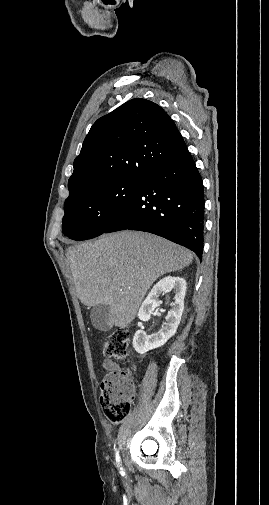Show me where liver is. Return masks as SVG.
I'll list each match as a JSON object with an SVG mask.
<instances>
[{"label":"liver","instance_id":"1","mask_svg":"<svg viewBox=\"0 0 269 505\" xmlns=\"http://www.w3.org/2000/svg\"><path fill=\"white\" fill-rule=\"evenodd\" d=\"M82 304H106L113 324L128 327L152 284L161 275L188 266L186 248L153 234L121 231L66 250Z\"/></svg>","mask_w":269,"mask_h":505}]
</instances>
